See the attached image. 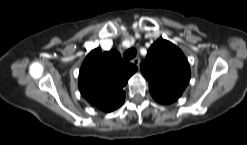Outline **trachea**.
Returning <instances> with one entry per match:
<instances>
[{
    "mask_svg": "<svg viewBox=\"0 0 247 145\" xmlns=\"http://www.w3.org/2000/svg\"><path fill=\"white\" fill-rule=\"evenodd\" d=\"M136 53L137 51L135 48H130L124 53L123 58L125 61H130L136 56Z\"/></svg>",
    "mask_w": 247,
    "mask_h": 145,
    "instance_id": "3493384b",
    "label": "trachea"
}]
</instances>
